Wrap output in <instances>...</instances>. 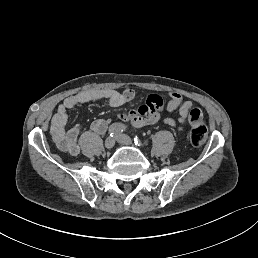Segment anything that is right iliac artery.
I'll list each match as a JSON object with an SVG mask.
<instances>
[{"label":"right iliac artery","mask_w":258,"mask_h":258,"mask_svg":"<svg viewBox=\"0 0 258 258\" xmlns=\"http://www.w3.org/2000/svg\"><path fill=\"white\" fill-rule=\"evenodd\" d=\"M126 129H127V126L120 123H114L109 127V134L111 137L118 136Z\"/></svg>","instance_id":"1"}]
</instances>
